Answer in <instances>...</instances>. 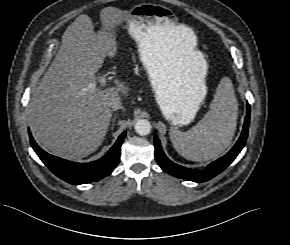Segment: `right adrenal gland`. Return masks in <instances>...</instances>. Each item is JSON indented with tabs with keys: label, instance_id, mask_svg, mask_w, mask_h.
Masks as SVG:
<instances>
[{
	"label": "right adrenal gland",
	"instance_id": "1",
	"mask_svg": "<svg viewBox=\"0 0 290 245\" xmlns=\"http://www.w3.org/2000/svg\"><path fill=\"white\" fill-rule=\"evenodd\" d=\"M115 120H116V115H115V116L112 118V120H111V128H112V129L114 128Z\"/></svg>",
	"mask_w": 290,
	"mask_h": 245
}]
</instances>
